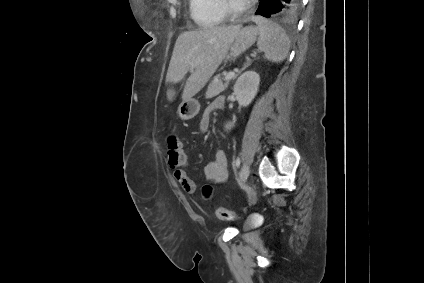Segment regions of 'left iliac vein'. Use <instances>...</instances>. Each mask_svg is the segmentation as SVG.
<instances>
[{"mask_svg": "<svg viewBox=\"0 0 424 283\" xmlns=\"http://www.w3.org/2000/svg\"><path fill=\"white\" fill-rule=\"evenodd\" d=\"M248 176H249V167L248 165L244 164L240 171L239 184L243 185L246 182Z\"/></svg>", "mask_w": 424, "mask_h": 283, "instance_id": "4c4485c4", "label": "left iliac vein"}]
</instances>
